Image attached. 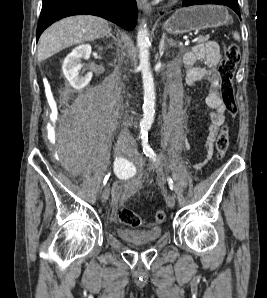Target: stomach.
<instances>
[{
  "mask_svg": "<svg viewBox=\"0 0 267 298\" xmlns=\"http://www.w3.org/2000/svg\"><path fill=\"white\" fill-rule=\"evenodd\" d=\"M228 11L218 5H196L177 10L164 24L170 34L178 35L230 23Z\"/></svg>",
  "mask_w": 267,
  "mask_h": 298,
  "instance_id": "stomach-1",
  "label": "stomach"
}]
</instances>
